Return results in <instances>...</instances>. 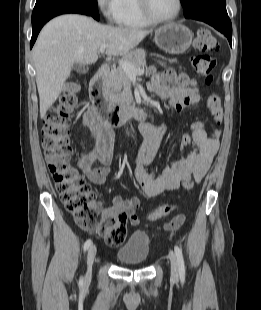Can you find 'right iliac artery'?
I'll list each match as a JSON object with an SVG mask.
<instances>
[{"mask_svg": "<svg viewBox=\"0 0 261 310\" xmlns=\"http://www.w3.org/2000/svg\"><path fill=\"white\" fill-rule=\"evenodd\" d=\"M92 244V240L88 239L85 243H84V251H86ZM79 285L82 286L83 285V278H80L79 280Z\"/></svg>", "mask_w": 261, "mask_h": 310, "instance_id": "obj_1", "label": "right iliac artery"}]
</instances>
